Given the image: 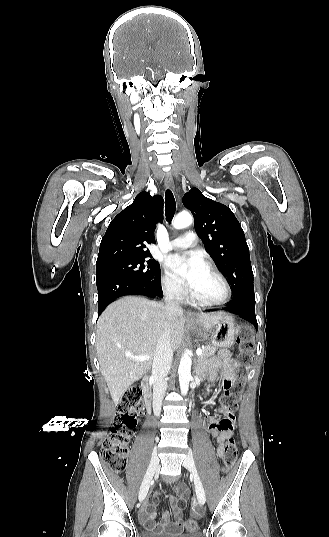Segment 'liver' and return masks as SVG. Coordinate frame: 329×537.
Instances as JSON below:
<instances>
[{
  "label": "liver",
  "mask_w": 329,
  "mask_h": 537,
  "mask_svg": "<svg viewBox=\"0 0 329 537\" xmlns=\"http://www.w3.org/2000/svg\"><path fill=\"white\" fill-rule=\"evenodd\" d=\"M223 313L198 314L196 321L209 330ZM171 321V344L176 351L182 341L185 319L183 313L167 318L165 306L142 297L127 296L110 304L99 317L96 349L101 372L115 403L131 384L151 367L156 345L165 323ZM134 356L149 355L150 359L136 362Z\"/></svg>",
  "instance_id": "6515ba94"
}]
</instances>
